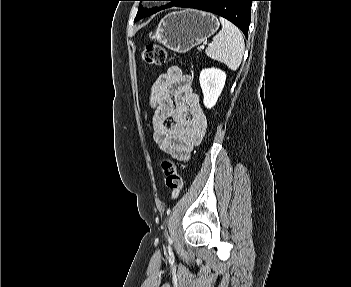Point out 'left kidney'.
<instances>
[{
    "label": "left kidney",
    "instance_id": "obj_1",
    "mask_svg": "<svg viewBox=\"0 0 351 287\" xmlns=\"http://www.w3.org/2000/svg\"><path fill=\"white\" fill-rule=\"evenodd\" d=\"M200 86L203 92V103L205 107L211 109L215 106L226 81L224 71L217 68L203 69L199 77Z\"/></svg>",
    "mask_w": 351,
    "mask_h": 287
}]
</instances>
